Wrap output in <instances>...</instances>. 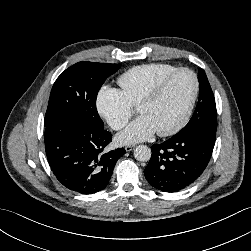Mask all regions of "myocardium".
<instances>
[{"mask_svg": "<svg viewBox=\"0 0 251 251\" xmlns=\"http://www.w3.org/2000/svg\"><path fill=\"white\" fill-rule=\"evenodd\" d=\"M180 73H188L192 76L194 81L193 94L181 119L170 129L164 131H156V134L160 137L172 136L178 133L188 123L193 113L200 90V83L197 74L189 68H178L158 81L137 104V108H139L141 106H145L154 102L161 95L169 82Z\"/></svg>", "mask_w": 251, "mask_h": 251, "instance_id": "obj_1", "label": "myocardium"}]
</instances>
